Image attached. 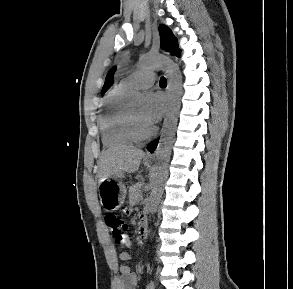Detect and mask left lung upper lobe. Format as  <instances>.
Returning <instances> with one entry per match:
<instances>
[{
    "instance_id": "left-lung-upper-lobe-1",
    "label": "left lung upper lobe",
    "mask_w": 293,
    "mask_h": 289,
    "mask_svg": "<svg viewBox=\"0 0 293 289\" xmlns=\"http://www.w3.org/2000/svg\"><path fill=\"white\" fill-rule=\"evenodd\" d=\"M159 32L161 38V48L167 52L178 55L180 50L177 44V39L172 34L171 30L165 25H160Z\"/></svg>"
}]
</instances>
